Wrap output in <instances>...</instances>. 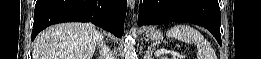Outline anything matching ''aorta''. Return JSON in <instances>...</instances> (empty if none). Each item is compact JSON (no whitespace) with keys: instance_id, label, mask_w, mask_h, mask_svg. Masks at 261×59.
I'll return each mask as SVG.
<instances>
[{"instance_id":"obj_1","label":"aorta","mask_w":261,"mask_h":59,"mask_svg":"<svg viewBox=\"0 0 261 59\" xmlns=\"http://www.w3.org/2000/svg\"><path fill=\"white\" fill-rule=\"evenodd\" d=\"M123 50L125 59H137V54L134 48V40L130 35L125 36Z\"/></svg>"}]
</instances>
